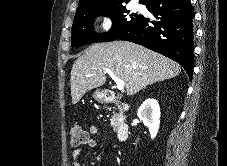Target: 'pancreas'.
<instances>
[{"label":"pancreas","mask_w":227,"mask_h":166,"mask_svg":"<svg viewBox=\"0 0 227 166\" xmlns=\"http://www.w3.org/2000/svg\"><path fill=\"white\" fill-rule=\"evenodd\" d=\"M122 118H123L122 113H119V114L114 113V115H113L112 118L110 119V121H111V126L113 127L114 130H116L117 127L121 124Z\"/></svg>","instance_id":"cf45deb5"}]
</instances>
